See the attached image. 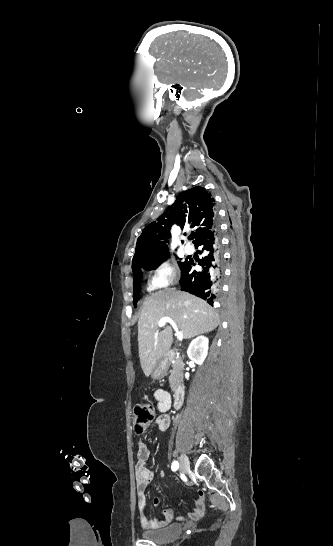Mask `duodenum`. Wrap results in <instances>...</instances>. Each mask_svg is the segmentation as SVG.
I'll use <instances>...</instances> for the list:
<instances>
[{"mask_svg": "<svg viewBox=\"0 0 333 546\" xmlns=\"http://www.w3.org/2000/svg\"><path fill=\"white\" fill-rule=\"evenodd\" d=\"M175 351L171 352L169 354V358L173 357L175 355ZM185 393H186V387H185V384L184 383H179L176 387H175V390H174V394H173V403H174V406L176 408H179L183 401H184V398H185Z\"/></svg>", "mask_w": 333, "mask_h": 546, "instance_id": "1", "label": "duodenum"}]
</instances>
